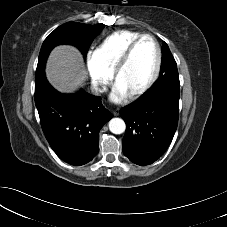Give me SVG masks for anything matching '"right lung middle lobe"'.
Returning a JSON list of instances; mask_svg holds the SVG:
<instances>
[{
	"label": "right lung middle lobe",
	"mask_w": 227,
	"mask_h": 227,
	"mask_svg": "<svg viewBox=\"0 0 227 227\" xmlns=\"http://www.w3.org/2000/svg\"><path fill=\"white\" fill-rule=\"evenodd\" d=\"M104 27V24L88 25L67 22L56 28L43 42L36 73L44 71L49 53L55 46L60 44H70L77 47L86 58L91 43Z\"/></svg>",
	"instance_id": "obj_1"
}]
</instances>
